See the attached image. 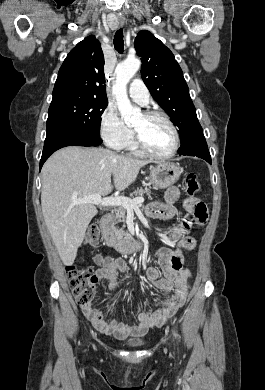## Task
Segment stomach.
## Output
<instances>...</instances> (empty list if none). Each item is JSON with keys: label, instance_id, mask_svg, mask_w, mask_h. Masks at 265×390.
I'll return each instance as SVG.
<instances>
[{"label": "stomach", "instance_id": "1", "mask_svg": "<svg viewBox=\"0 0 265 390\" xmlns=\"http://www.w3.org/2000/svg\"><path fill=\"white\" fill-rule=\"evenodd\" d=\"M183 172L175 163H163L151 168L149 181L155 189H165L173 185Z\"/></svg>", "mask_w": 265, "mask_h": 390}]
</instances>
